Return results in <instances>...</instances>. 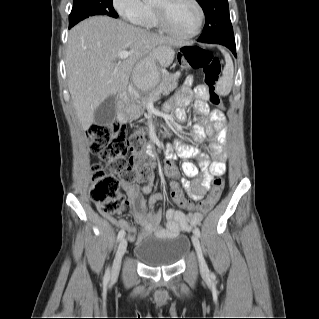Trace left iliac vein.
Here are the masks:
<instances>
[{"mask_svg":"<svg viewBox=\"0 0 319 319\" xmlns=\"http://www.w3.org/2000/svg\"><path fill=\"white\" fill-rule=\"evenodd\" d=\"M192 242H193V245H194L196 253H197L200 270L203 274H207L209 271L208 266H207L206 261L203 257L200 242H199V239H198L196 234L192 235Z\"/></svg>","mask_w":319,"mask_h":319,"instance_id":"1","label":"left iliac vein"}]
</instances>
